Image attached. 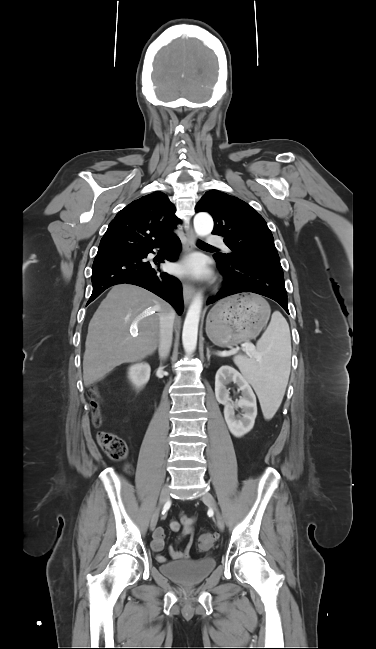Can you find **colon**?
<instances>
[{
    "label": "colon",
    "instance_id": "5ec220e1",
    "mask_svg": "<svg viewBox=\"0 0 376 649\" xmlns=\"http://www.w3.org/2000/svg\"><path fill=\"white\" fill-rule=\"evenodd\" d=\"M88 398L91 401L93 409V422L94 425L99 426L102 423V417L99 411V393L97 388H91L88 392ZM97 442L106 455L114 461H122L128 455V447L126 442L116 434L100 431L97 434ZM129 472L130 467H126ZM215 542L213 534L204 533L198 539V548L201 551L209 550Z\"/></svg>",
    "mask_w": 376,
    "mask_h": 649
}]
</instances>
